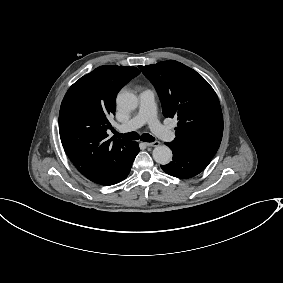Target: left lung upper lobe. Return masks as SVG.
<instances>
[{"instance_id": "5c2ea615", "label": "left lung upper lobe", "mask_w": 283, "mask_h": 283, "mask_svg": "<svg viewBox=\"0 0 283 283\" xmlns=\"http://www.w3.org/2000/svg\"><path fill=\"white\" fill-rule=\"evenodd\" d=\"M154 85L165 117L178 119L173 145L213 158L223 134L218 97L209 83L184 64L169 60L139 66Z\"/></svg>"}]
</instances>
